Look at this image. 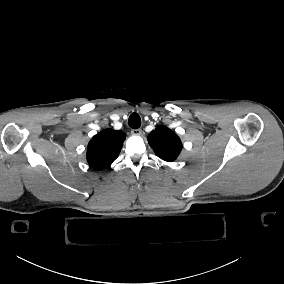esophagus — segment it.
I'll return each instance as SVG.
<instances>
[{"instance_id": "1", "label": "esophagus", "mask_w": 284, "mask_h": 284, "mask_svg": "<svg viewBox=\"0 0 284 284\" xmlns=\"http://www.w3.org/2000/svg\"><path fill=\"white\" fill-rule=\"evenodd\" d=\"M131 134L134 136H139L141 134V129H132Z\"/></svg>"}]
</instances>
